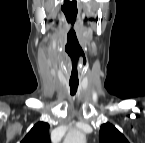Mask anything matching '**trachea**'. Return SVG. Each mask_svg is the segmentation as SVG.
Here are the masks:
<instances>
[{"label": "trachea", "instance_id": "trachea-1", "mask_svg": "<svg viewBox=\"0 0 145 143\" xmlns=\"http://www.w3.org/2000/svg\"><path fill=\"white\" fill-rule=\"evenodd\" d=\"M78 82H69L70 94L75 95L78 89Z\"/></svg>", "mask_w": 145, "mask_h": 143}]
</instances>
